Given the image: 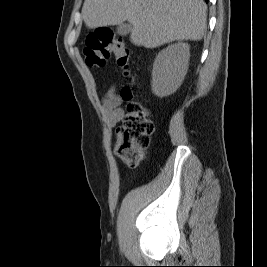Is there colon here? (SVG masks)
Listing matches in <instances>:
<instances>
[{
    "label": "colon",
    "instance_id": "obj_1",
    "mask_svg": "<svg viewBox=\"0 0 267 267\" xmlns=\"http://www.w3.org/2000/svg\"><path fill=\"white\" fill-rule=\"evenodd\" d=\"M83 52L85 62L90 67H104L114 56L116 65L126 75L129 74L130 51L108 28H98L89 34ZM121 95L127 102V111L117 130L115 153L127 166L136 167L144 159L154 124L149 110L133 98L129 86L123 88Z\"/></svg>",
    "mask_w": 267,
    "mask_h": 267
}]
</instances>
